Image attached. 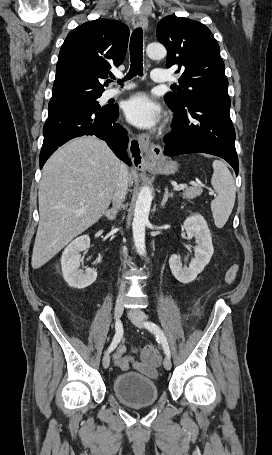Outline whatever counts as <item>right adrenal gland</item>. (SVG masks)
I'll use <instances>...</instances> for the list:
<instances>
[{
	"label": "right adrenal gland",
	"mask_w": 272,
	"mask_h": 455,
	"mask_svg": "<svg viewBox=\"0 0 272 455\" xmlns=\"http://www.w3.org/2000/svg\"><path fill=\"white\" fill-rule=\"evenodd\" d=\"M116 214H117V207L116 206H113L111 209H108L104 213V215L108 218V220L115 219Z\"/></svg>",
	"instance_id": "1"
}]
</instances>
